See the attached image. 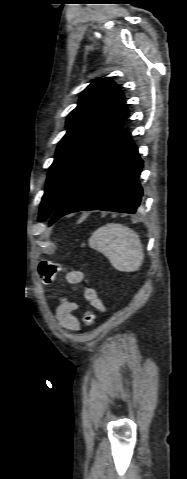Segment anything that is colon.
Returning a JSON list of instances; mask_svg holds the SVG:
<instances>
[{
    "mask_svg": "<svg viewBox=\"0 0 187 479\" xmlns=\"http://www.w3.org/2000/svg\"><path fill=\"white\" fill-rule=\"evenodd\" d=\"M63 271V267L59 263L41 260L38 263V272L41 280L46 283H52L55 278ZM85 326H91L95 322V312L93 310H85L82 317Z\"/></svg>",
    "mask_w": 187,
    "mask_h": 479,
    "instance_id": "obj_1",
    "label": "colon"
}]
</instances>
